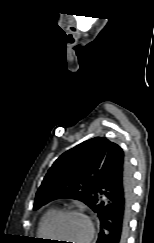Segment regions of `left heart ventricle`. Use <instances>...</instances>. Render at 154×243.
Here are the masks:
<instances>
[{"instance_id":"b2bd125f","label":"left heart ventricle","mask_w":154,"mask_h":243,"mask_svg":"<svg viewBox=\"0 0 154 243\" xmlns=\"http://www.w3.org/2000/svg\"><path fill=\"white\" fill-rule=\"evenodd\" d=\"M88 226L85 219L80 216H66L61 218L53 229V236L62 241L60 243H66V240L71 239L72 243H83Z\"/></svg>"}]
</instances>
